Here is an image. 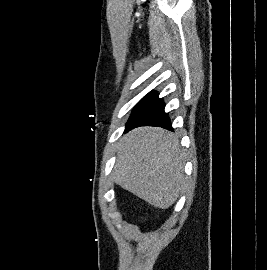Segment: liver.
Returning <instances> with one entry per match:
<instances>
[{
	"instance_id": "liver-1",
	"label": "liver",
	"mask_w": 267,
	"mask_h": 270,
	"mask_svg": "<svg viewBox=\"0 0 267 270\" xmlns=\"http://www.w3.org/2000/svg\"><path fill=\"white\" fill-rule=\"evenodd\" d=\"M113 179L150 205L169 208L185 183L179 140L173 133L157 127L130 131L118 146Z\"/></svg>"
}]
</instances>
